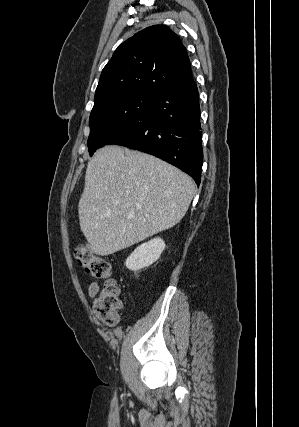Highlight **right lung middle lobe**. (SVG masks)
<instances>
[{"label":"right lung middle lobe","mask_w":299,"mask_h":427,"mask_svg":"<svg viewBox=\"0 0 299 427\" xmlns=\"http://www.w3.org/2000/svg\"><path fill=\"white\" fill-rule=\"evenodd\" d=\"M153 99L143 94L118 93L95 102L90 114L89 154L92 156L96 149L126 130Z\"/></svg>","instance_id":"dd1d6c3e"}]
</instances>
